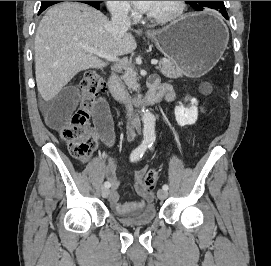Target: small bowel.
<instances>
[{
  "instance_id": "c3829d8e",
  "label": "small bowel",
  "mask_w": 271,
  "mask_h": 266,
  "mask_svg": "<svg viewBox=\"0 0 271 266\" xmlns=\"http://www.w3.org/2000/svg\"><path fill=\"white\" fill-rule=\"evenodd\" d=\"M153 82H156L154 80ZM168 89L166 99L171 101L174 99V93L168 85H163ZM78 100V92L74 87H66L59 92L52 100L44 102L42 108L44 110L48 124L54 128H58L68 114L74 109ZM92 134L97 139H101L105 144L112 145L114 143V129L112 117L105 103L98 106L95 118L94 127L91 130ZM86 161V159L84 160ZM147 168H141L134 172L135 191L140 199L122 203L119 195V180L116 175V169L110 168L107 172V178L111 182V190L109 201L118 213H129L133 211H141L147 203L154 199V193L148 191L141 186V179L146 174Z\"/></svg>"
}]
</instances>
